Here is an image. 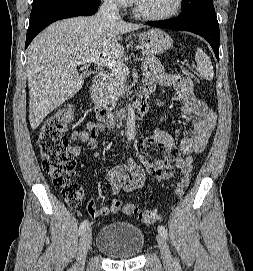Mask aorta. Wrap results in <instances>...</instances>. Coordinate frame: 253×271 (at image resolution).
Wrapping results in <instances>:
<instances>
[{
  "mask_svg": "<svg viewBox=\"0 0 253 271\" xmlns=\"http://www.w3.org/2000/svg\"><path fill=\"white\" fill-rule=\"evenodd\" d=\"M135 110L132 105L128 106V117L126 121V135L128 140H134L135 134Z\"/></svg>",
  "mask_w": 253,
  "mask_h": 271,
  "instance_id": "1",
  "label": "aorta"
}]
</instances>
